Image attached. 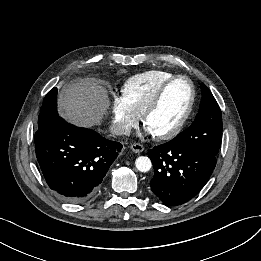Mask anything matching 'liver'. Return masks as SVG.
I'll list each match as a JSON object with an SVG mask.
<instances>
[{
	"label": "liver",
	"mask_w": 261,
	"mask_h": 261,
	"mask_svg": "<svg viewBox=\"0 0 261 261\" xmlns=\"http://www.w3.org/2000/svg\"><path fill=\"white\" fill-rule=\"evenodd\" d=\"M60 115L69 122L92 127L100 123L109 106L106 88L93 78L65 85L58 96Z\"/></svg>",
	"instance_id": "obj_1"
}]
</instances>
